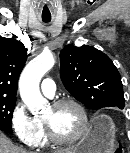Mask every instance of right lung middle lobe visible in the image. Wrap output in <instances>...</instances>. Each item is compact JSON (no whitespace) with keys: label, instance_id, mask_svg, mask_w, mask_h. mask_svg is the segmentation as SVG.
<instances>
[{"label":"right lung middle lobe","instance_id":"dd1d6c3e","mask_svg":"<svg viewBox=\"0 0 130 153\" xmlns=\"http://www.w3.org/2000/svg\"><path fill=\"white\" fill-rule=\"evenodd\" d=\"M16 98L0 96V130L12 133V115Z\"/></svg>","mask_w":130,"mask_h":153}]
</instances>
